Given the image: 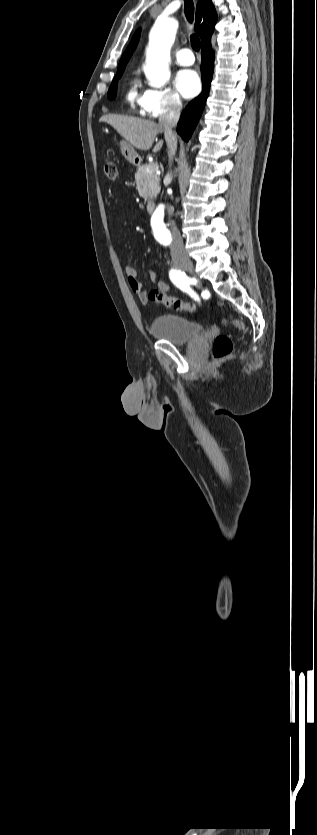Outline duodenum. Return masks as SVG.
Returning <instances> with one entry per match:
<instances>
[{
  "mask_svg": "<svg viewBox=\"0 0 317 835\" xmlns=\"http://www.w3.org/2000/svg\"><path fill=\"white\" fill-rule=\"evenodd\" d=\"M156 202L154 200H149L147 202L146 208L149 212H152L155 209Z\"/></svg>",
  "mask_w": 317,
  "mask_h": 835,
  "instance_id": "duodenum-1",
  "label": "duodenum"
}]
</instances>
